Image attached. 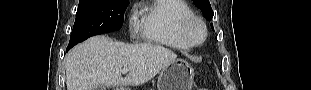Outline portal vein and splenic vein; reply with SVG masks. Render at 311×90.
<instances>
[{"label": "portal vein and splenic vein", "instance_id": "portal-vein-and-splenic-vein-1", "mask_svg": "<svg viewBox=\"0 0 311 90\" xmlns=\"http://www.w3.org/2000/svg\"><path fill=\"white\" fill-rule=\"evenodd\" d=\"M121 72H122V74H126V73L128 72V69H127V68H123V69L121 70Z\"/></svg>", "mask_w": 311, "mask_h": 90}]
</instances>
